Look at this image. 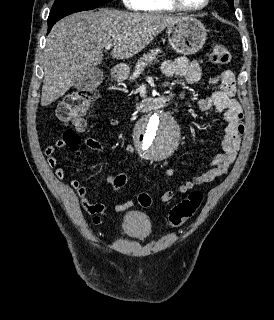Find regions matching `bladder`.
<instances>
[{"label": "bladder", "mask_w": 274, "mask_h": 320, "mask_svg": "<svg viewBox=\"0 0 274 320\" xmlns=\"http://www.w3.org/2000/svg\"><path fill=\"white\" fill-rule=\"evenodd\" d=\"M122 233L134 239L147 237L152 231L149 218L141 212L128 213L122 222Z\"/></svg>", "instance_id": "obj_1"}]
</instances>
